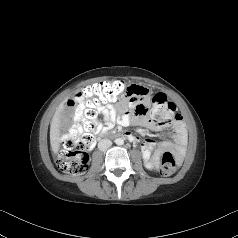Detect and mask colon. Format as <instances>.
<instances>
[{
	"instance_id": "obj_1",
	"label": "colon",
	"mask_w": 238,
	"mask_h": 238,
	"mask_svg": "<svg viewBox=\"0 0 238 238\" xmlns=\"http://www.w3.org/2000/svg\"><path fill=\"white\" fill-rule=\"evenodd\" d=\"M130 88L122 81H102L80 90L71 100L75 112H80L87 117L83 129L71 132L64 141V149L57 159L58 168L65 173L83 174L88 167V149L93 143V133L96 126L94 118L97 115V106L127 96ZM175 105L163 93L153 96L151 118L157 122H168L175 117ZM176 170V160L171 152H165L161 158L160 173L163 176L172 175Z\"/></svg>"
}]
</instances>
